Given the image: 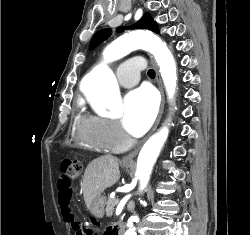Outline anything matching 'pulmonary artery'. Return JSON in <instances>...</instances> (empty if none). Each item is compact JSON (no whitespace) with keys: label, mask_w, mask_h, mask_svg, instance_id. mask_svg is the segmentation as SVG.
I'll list each match as a JSON object with an SVG mask.
<instances>
[{"label":"pulmonary artery","mask_w":250,"mask_h":235,"mask_svg":"<svg viewBox=\"0 0 250 235\" xmlns=\"http://www.w3.org/2000/svg\"><path fill=\"white\" fill-rule=\"evenodd\" d=\"M145 64L138 57H132L119 66L118 81L122 87L134 86L140 78V72Z\"/></svg>","instance_id":"obj_1"}]
</instances>
